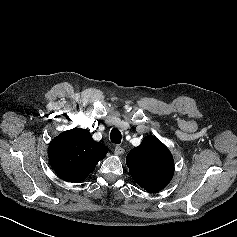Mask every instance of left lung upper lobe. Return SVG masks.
Listing matches in <instances>:
<instances>
[{
	"label": "left lung upper lobe",
	"mask_w": 237,
	"mask_h": 237,
	"mask_svg": "<svg viewBox=\"0 0 237 237\" xmlns=\"http://www.w3.org/2000/svg\"><path fill=\"white\" fill-rule=\"evenodd\" d=\"M126 164L133 180L149 193L162 190L172 179L173 157L168 148L155 136H146L131 150Z\"/></svg>",
	"instance_id": "obj_1"
}]
</instances>
